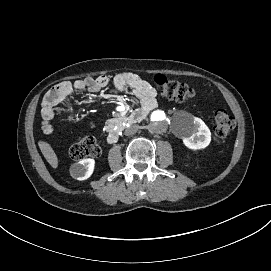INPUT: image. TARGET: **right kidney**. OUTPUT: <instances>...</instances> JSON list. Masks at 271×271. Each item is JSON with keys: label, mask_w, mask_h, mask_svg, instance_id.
<instances>
[{"label": "right kidney", "mask_w": 271, "mask_h": 271, "mask_svg": "<svg viewBox=\"0 0 271 271\" xmlns=\"http://www.w3.org/2000/svg\"><path fill=\"white\" fill-rule=\"evenodd\" d=\"M94 165V159H82L71 165L70 175L77 180H86L92 175Z\"/></svg>", "instance_id": "right-kidney-1"}]
</instances>
